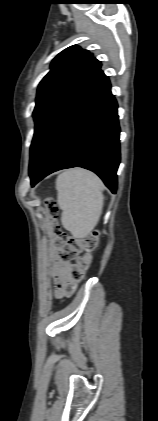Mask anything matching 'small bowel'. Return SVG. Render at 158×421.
<instances>
[{
    "label": "small bowel",
    "instance_id": "1",
    "mask_svg": "<svg viewBox=\"0 0 158 421\" xmlns=\"http://www.w3.org/2000/svg\"><path fill=\"white\" fill-rule=\"evenodd\" d=\"M53 276L56 283L55 295L60 298L66 295L65 284L69 275L70 263L60 260L55 253L52 254Z\"/></svg>",
    "mask_w": 158,
    "mask_h": 421
}]
</instances>
